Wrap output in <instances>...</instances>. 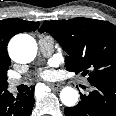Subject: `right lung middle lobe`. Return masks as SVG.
<instances>
[{"mask_svg":"<svg viewBox=\"0 0 116 116\" xmlns=\"http://www.w3.org/2000/svg\"><path fill=\"white\" fill-rule=\"evenodd\" d=\"M7 70L0 72V97L4 96L8 91Z\"/></svg>","mask_w":116,"mask_h":116,"instance_id":"dd1d6c3e","label":"right lung middle lobe"}]
</instances>
